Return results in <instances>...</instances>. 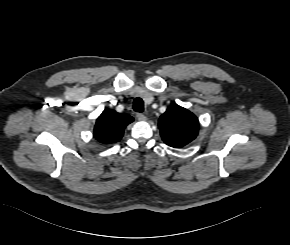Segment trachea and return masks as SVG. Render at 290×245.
Listing matches in <instances>:
<instances>
[{"label": "trachea", "instance_id": "3493384b", "mask_svg": "<svg viewBox=\"0 0 290 245\" xmlns=\"http://www.w3.org/2000/svg\"><path fill=\"white\" fill-rule=\"evenodd\" d=\"M133 109H134V111L139 112V113L143 112V110H144V104H143V101H142L141 98H136L134 100V102H133Z\"/></svg>", "mask_w": 290, "mask_h": 245}]
</instances>
